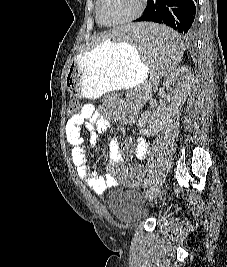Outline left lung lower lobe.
Returning <instances> with one entry per match:
<instances>
[{"label":"left lung lower lobe","instance_id":"1","mask_svg":"<svg viewBox=\"0 0 227 267\" xmlns=\"http://www.w3.org/2000/svg\"><path fill=\"white\" fill-rule=\"evenodd\" d=\"M196 9L197 0H148L143 15L135 21L162 23L191 37L196 30Z\"/></svg>","mask_w":227,"mask_h":267}]
</instances>
